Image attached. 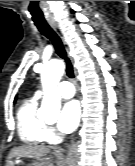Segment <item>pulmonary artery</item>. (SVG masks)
<instances>
[{
  "mask_svg": "<svg viewBox=\"0 0 135 166\" xmlns=\"http://www.w3.org/2000/svg\"><path fill=\"white\" fill-rule=\"evenodd\" d=\"M58 92L62 98H71L75 94V89L72 83L64 80L59 84ZM40 95V91H37L35 94V96L37 97H39Z\"/></svg>",
  "mask_w": 135,
  "mask_h": 166,
  "instance_id": "obj_1",
  "label": "pulmonary artery"
}]
</instances>
